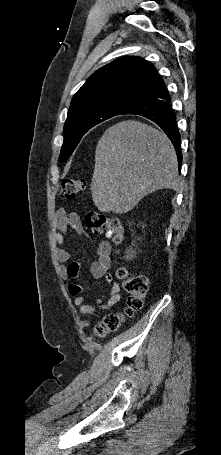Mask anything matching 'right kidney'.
I'll return each instance as SVG.
<instances>
[{
    "label": "right kidney",
    "mask_w": 221,
    "mask_h": 455,
    "mask_svg": "<svg viewBox=\"0 0 221 455\" xmlns=\"http://www.w3.org/2000/svg\"><path fill=\"white\" fill-rule=\"evenodd\" d=\"M126 254H127V258H132V257L135 256V251H133L132 249L131 250H127Z\"/></svg>",
    "instance_id": "1"
}]
</instances>
